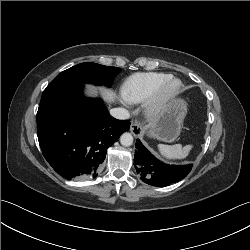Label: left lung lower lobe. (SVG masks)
<instances>
[{
	"label": "left lung lower lobe",
	"mask_w": 250,
	"mask_h": 250,
	"mask_svg": "<svg viewBox=\"0 0 250 250\" xmlns=\"http://www.w3.org/2000/svg\"><path fill=\"white\" fill-rule=\"evenodd\" d=\"M134 166L141 179L150 185L164 187L178 182L188 175L192 164L175 166L167 165L155 158L140 142L136 140Z\"/></svg>",
	"instance_id": "obj_1"
}]
</instances>
